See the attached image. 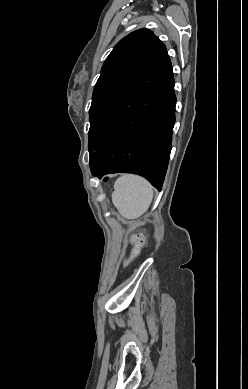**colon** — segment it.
<instances>
[{
  "label": "colon",
  "instance_id": "5ec220e1",
  "mask_svg": "<svg viewBox=\"0 0 248 389\" xmlns=\"http://www.w3.org/2000/svg\"><path fill=\"white\" fill-rule=\"evenodd\" d=\"M131 242L133 244V249L130 254L124 260V266L128 265L134 258H136L143 245H144V236L142 233H134L131 235Z\"/></svg>",
  "mask_w": 248,
  "mask_h": 389
}]
</instances>
